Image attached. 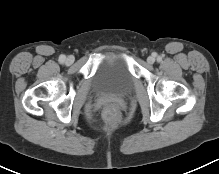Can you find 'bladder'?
I'll return each instance as SVG.
<instances>
[{
  "instance_id": "1",
  "label": "bladder",
  "mask_w": 219,
  "mask_h": 174,
  "mask_svg": "<svg viewBox=\"0 0 219 174\" xmlns=\"http://www.w3.org/2000/svg\"><path fill=\"white\" fill-rule=\"evenodd\" d=\"M134 84V76L127 60L121 53L107 57L99 66L95 77V88L103 93L126 95Z\"/></svg>"
}]
</instances>
